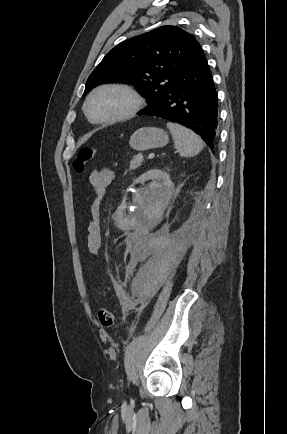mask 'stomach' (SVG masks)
<instances>
[{"label": "stomach", "mask_w": 287, "mask_h": 434, "mask_svg": "<svg viewBox=\"0 0 287 434\" xmlns=\"http://www.w3.org/2000/svg\"><path fill=\"white\" fill-rule=\"evenodd\" d=\"M167 133L159 128L144 127L136 130L130 137V146L138 151L159 148L167 145Z\"/></svg>", "instance_id": "0dacf381"}]
</instances>
